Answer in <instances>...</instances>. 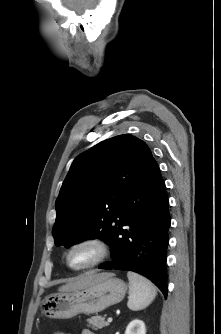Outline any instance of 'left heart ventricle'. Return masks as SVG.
Returning a JSON list of instances; mask_svg holds the SVG:
<instances>
[{
    "label": "left heart ventricle",
    "instance_id": "b2bd125f",
    "mask_svg": "<svg viewBox=\"0 0 221 334\" xmlns=\"http://www.w3.org/2000/svg\"><path fill=\"white\" fill-rule=\"evenodd\" d=\"M94 255L95 253L91 248L82 247L72 253L70 261L73 265H83L91 261Z\"/></svg>",
    "mask_w": 221,
    "mask_h": 334
}]
</instances>
